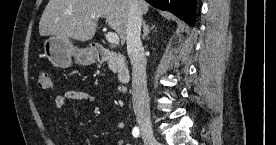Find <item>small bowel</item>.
Returning <instances> with one entry per match:
<instances>
[{
	"mask_svg": "<svg viewBox=\"0 0 276 145\" xmlns=\"http://www.w3.org/2000/svg\"><path fill=\"white\" fill-rule=\"evenodd\" d=\"M97 100L98 98L89 92L82 91V90H67L58 94L55 97L54 105L57 110H61L70 101H80V102L90 104V103L96 102ZM54 126H55L56 134L60 136V130L57 124V118H54ZM116 128L118 130H123L125 128V123L123 121H117ZM117 145H127V144L123 141H119Z\"/></svg>",
	"mask_w": 276,
	"mask_h": 145,
	"instance_id": "obj_1",
	"label": "small bowel"
}]
</instances>
